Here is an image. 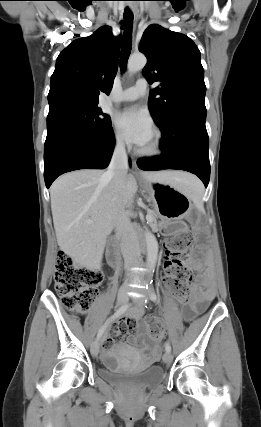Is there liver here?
<instances>
[{
	"mask_svg": "<svg viewBox=\"0 0 261 427\" xmlns=\"http://www.w3.org/2000/svg\"><path fill=\"white\" fill-rule=\"evenodd\" d=\"M140 175L148 182L169 184L185 193L187 182L194 178L178 171ZM137 190L136 179L131 174H127L121 188L98 169L77 170L59 177L51 186L50 198L60 249L78 258L82 265H99L118 211L133 202Z\"/></svg>",
	"mask_w": 261,
	"mask_h": 427,
	"instance_id": "6515ba94",
	"label": "liver"
}]
</instances>
